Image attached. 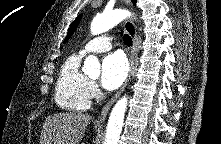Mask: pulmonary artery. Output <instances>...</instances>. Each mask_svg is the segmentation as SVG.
Instances as JSON below:
<instances>
[{"mask_svg": "<svg viewBox=\"0 0 221 144\" xmlns=\"http://www.w3.org/2000/svg\"><path fill=\"white\" fill-rule=\"evenodd\" d=\"M112 48V38L106 35L98 36L88 43L79 51L80 55H86L94 52H105Z\"/></svg>", "mask_w": 221, "mask_h": 144, "instance_id": "e3ab8cb5", "label": "pulmonary artery"}]
</instances>
